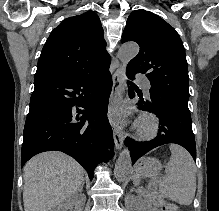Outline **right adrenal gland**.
I'll return each instance as SVG.
<instances>
[{
    "instance_id": "right-adrenal-gland-1",
    "label": "right adrenal gland",
    "mask_w": 219,
    "mask_h": 211,
    "mask_svg": "<svg viewBox=\"0 0 219 211\" xmlns=\"http://www.w3.org/2000/svg\"><path fill=\"white\" fill-rule=\"evenodd\" d=\"M82 191H83V185L82 187H80V189H78V191H76V193H74V195H82Z\"/></svg>"
}]
</instances>
